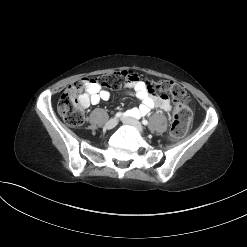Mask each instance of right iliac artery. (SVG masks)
<instances>
[{
  "label": "right iliac artery",
  "instance_id": "1",
  "mask_svg": "<svg viewBox=\"0 0 247 247\" xmlns=\"http://www.w3.org/2000/svg\"><path fill=\"white\" fill-rule=\"evenodd\" d=\"M122 115H129V114H128V111H127V113H125V114H122L121 112H118V113H116L115 116H116V117H120V116H122Z\"/></svg>",
  "mask_w": 247,
  "mask_h": 247
}]
</instances>
